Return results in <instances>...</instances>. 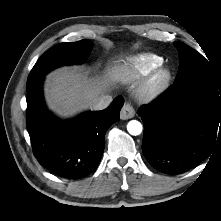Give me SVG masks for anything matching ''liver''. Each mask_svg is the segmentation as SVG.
I'll list each match as a JSON object with an SVG mask.
<instances>
[{
  "label": "liver",
  "instance_id": "1",
  "mask_svg": "<svg viewBox=\"0 0 221 221\" xmlns=\"http://www.w3.org/2000/svg\"><path fill=\"white\" fill-rule=\"evenodd\" d=\"M111 81V73L108 78L88 79L76 67L55 70L45 82L47 105L61 117L73 116L92 108L93 101L104 95Z\"/></svg>",
  "mask_w": 221,
  "mask_h": 221
}]
</instances>
